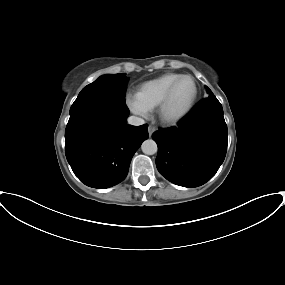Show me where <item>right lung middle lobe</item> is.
Returning <instances> with one entry per match:
<instances>
[{
	"label": "right lung middle lobe",
	"mask_w": 285,
	"mask_h": 285,
	"mask_svg": "<svg viewBox=\"0 0 285 285\" xmlns=\"http://www.w3.org/2000/svg\"><path fill=\"white\" fill-rule=\"evenodd\" d=\"M127 83L128 78L125 76V73L99 77L81 90L70 108V114H73L80 107L95 99H109L124 103Z\"/></svg>",
	"instance_id": "1"
}]
</instances>
